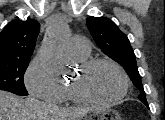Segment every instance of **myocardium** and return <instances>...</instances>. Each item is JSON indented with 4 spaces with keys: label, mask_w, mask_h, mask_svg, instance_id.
I'll list each match as a JSON object with an SVG mask.
<instances>
[{
    "label": "myocardium",
    "mask_w": 165,
    "mask_h": 120,
    "mask_svg": "<svg viewBox=\"0 0 165 120\" xmlns=\"http://www.w3.org/2000/svg\"><path fill=\"white\" fill-rule=\"evenodd\" d=\"M101 64H107L112 66L118 71V73L122 78V83H123L122 90L118 95L112 98H108V99L95 98L90 94H88L82 85V81L86 76V74L94 67ZM79 75H80L79 80L71 83V89L74 95L76 96V98L81 102L95 103V104H112L122 100L126 96L129 89V78L127 73L119 63L109 58L99 57V58H92L83 61L79 66Z\"/></svg>",
    "instance_id": "f54148a6"
}]
</instances>
